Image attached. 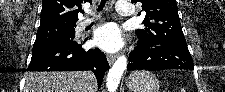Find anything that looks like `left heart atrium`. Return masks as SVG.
<instances>
[{"label":"left heart atrium","instance_id":"1","mask_svg":"<svg viewBox=\"0 0 225 92\" xmlns=\"http://www.w3.org/2000/svg\"><path fill=\"white\" fill-rule=\"evenodd\" d=\"M123 42L124 38L121 29L113 22L99 27L94 33V43L108 52L118 50Z\"/></svg>","mask_w":225,"mask_h":92}]
</instances>
